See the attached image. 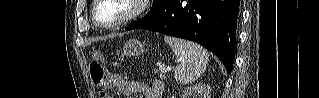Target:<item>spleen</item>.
<instances>
[{
	"mask_svg": "<svg viewBox=\"0 0 319 98\" xmlns=\"http://www.w3.org/2000/svg\"><path fill=\"white\" fill-rule=\"evenodd\" d=\"M173 49L178 60L174 78L180 84H189L197 80L205 71L209 55L205 49L194 42L177 38L164 37Z\"/></svg>",
	"mask_w": 319,
	"mask_h": 98,
	"instance_id": "obj_1",
	"label": "spleen"
}]
</instances>
